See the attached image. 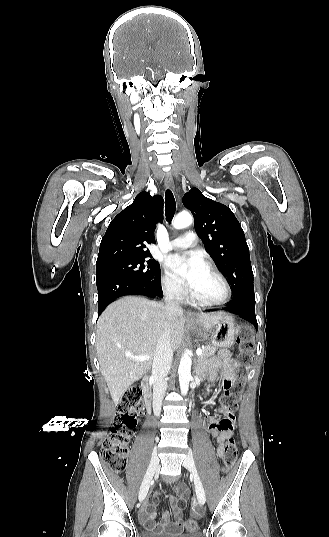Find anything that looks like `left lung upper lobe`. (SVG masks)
I'll return each mask as SVG.
<instances>
[{
    "mask_svg": "<svg viewBox=\"0 0 329 537\" xmlns=\"http://www.w3.org/2000/svg\"><path fill=\"white\" fill-rule=\"evenodd\" d=\"M194 216V226L204 247L233 290V300L255 301L249 248L241 225L225 205L206 198L197 188L183 197Z\"/></svg>",
    "mask_w": 329,
    "mask_h": 537,
    "instance_id": "left-lung-upper-lobe-1",
    "label": "left lung upper lobe"
}]
</instances>
